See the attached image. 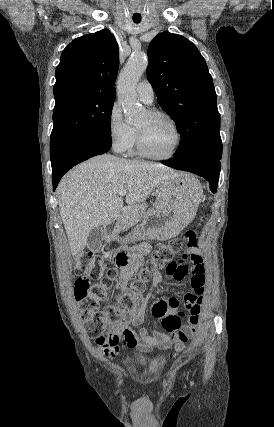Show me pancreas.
I'll list each match as a JSON object with an SVG mask.
<instances>
[{
    "label": "pancreas",
    "instance_id": "1",
    "mask_svg": "<svg viewBox=\"0 0 274 427\" xmlns=\"http://www.w3.org/2000/svg\"><path fill=\"white\" fill-rule=\"evenodd\" d=\"M146 208H148L147 204H134V206L125 208L118 219V225H116L118 229L116 231H127L128 227L135 225L145 215Z\"/></svg>",
    "mask_w": 274,
    "mask_h": 427
}]
</instances>
